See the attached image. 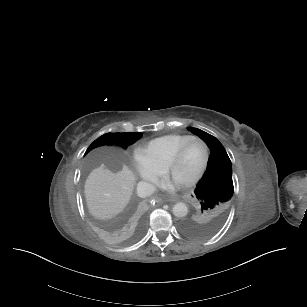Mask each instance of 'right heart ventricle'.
Returning <instances> with one entry per match:
<instances>
[{"mask_svg":"<svg viewBox=\"0 0 307 307\" xmlns=\"http://www.w3.org/2000/svg\"><path fill=\"white\" fill-rule=\"evenodd\" d=\"M191 135L171 133L136 143L133 154L143 157L154 166H162Z\"/></svg>","mask_w":307,"mask_h":307,"instance_id":"1","label":"right heart ventricle"}]
</instances>
